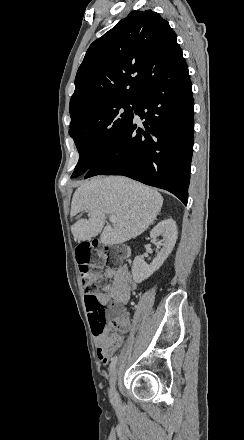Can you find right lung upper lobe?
<instances>
[{"label": "right lung upper lobe", "mask_w": 244, "mask_h": 440, "mask_svg": "<svg viewBox=\"0 0 244 440\" xmlns=\"http://www.w3.org/2000/svg\"><path fill=\"white\" fill-rule=\"evenodd\" d=\"M184 63L165 19L150 9L132 11L88 48L69 111L108 98L139 99L156 74Z\"/></svg>", "instance_id": "obj_1"}]
</instances>
